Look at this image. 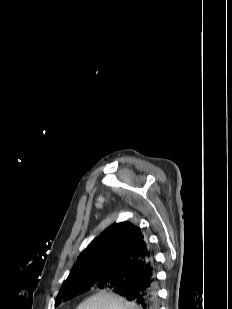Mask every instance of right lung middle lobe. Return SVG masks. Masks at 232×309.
Instances as JSON below:
<instances>
[{
  "instance_id": "obj_1",
  "label": "right lung middle lobe",
  "mask_w": 232,
  "mask_h": 309,
  "mask_svg": "<svg viewBox=\"0 0 232 309\" xmlns=\"http://www.w3.org/2000/svg\"><path fill=\"white\" fill-rule=\"evenodd\" d=\"M126 281V277L123 274L109 271H89L80 273L64 282L56 297L55 305L57 306L62 301L69 300L92 287H100L105 284L109 285L111 282L117 285Z\"/></svg>"
}]
</instances>
